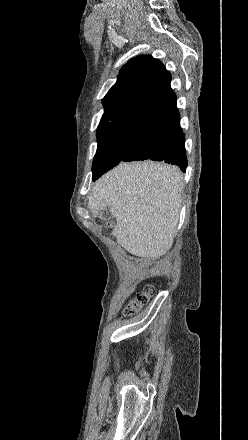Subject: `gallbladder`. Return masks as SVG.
I'll return each instance as SVG.
<instances>
[{
	"instance_id": "gallbladder-1",
	"label": "gallbladder",
	"mask_w": 248,
	"mask_h": 440,
	"mask_svg": "<svg viewBox=\"0 0 248 440\" xmlns=\"http://www.w3.org/2000/svg\"><path fill=\"white\" fill-rule=\"evenodd\" d=\"M100 217L103 221H109L113 217L109 207H106L101 211Z\"/></svg>"
}]
</instances>
